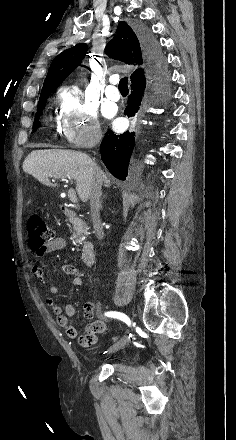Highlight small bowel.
I'll return each instance as SVG.
<instances>
[{
	"instance_id": "c3829d8e",
	"label": "small bowel",
	"mask_w": 236,
	"mask_h": 440,
	"mask_svg": "<svg viewBox=\"0 0 236 440\" xmlns=\"http://www.w3.org/2000/svg\"><path fill=\"white\" fill-rule=\"evenodd\" d=\"M66 246V240L63 237H55L50 242L45 244L42 248L35 250V256L41 258L44 255L52 252L61 251ZM62 271L66 275L72 276L71 284L73 286L83 285L84 275L76 266L71 264H66L62 266ZM32 272L38 280L42 283L47 282L46 272L44 268L39 264L32 265ZM48 292L50 294L59 293V287L55 284L48 285ZM46 304L51 309L53 314L56 316L57 324L65 328L66 334L69 338L74 339L78 336L77 329L70 324V319L75 314V307L73 304H67L64 307V312L62 307L53 301L52 299H47ZM94 304L91 300H87L83 306V314L87 318H91L94 315ZM106 324L103 321L97 320L89 324L87 331L84 335L80 336L79 342L83 346H89L96 342L97 334L103 331Z\"/></svg>"
}]
</instances>
